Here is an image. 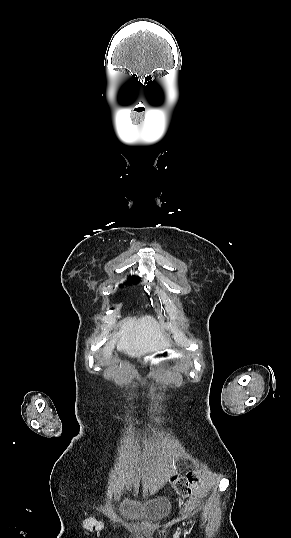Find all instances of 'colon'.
<instances>
[{"instance_id":"1","label":"colon","mask_w":291,"mask_h":538,"mask_svg":"<svg viewBox=\"0 0 291 538\" xmlns=\"http://www.w3.org/2000/svg\"><path fill=\"white\" fill-rule=\"evenodd\" d=\"M199 480V476L194 472L180 477L175 474L171 475V482L174 489L177 491V493L184 497L188 496L192 490L196 488Z\"/></svg>"}]
</instances>
